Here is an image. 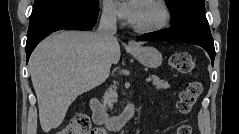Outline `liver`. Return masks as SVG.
Masks as SVG:
<instances>
[{
  "mask_svg": "<svg viewBox=\"0 0 239 134\" xmlns=\"http://www.w3.org/2000/svg\"><path fill=\"white\" fill-rule=\"evenodd\" d=\"M102 52L97 32L81 31L54 33L33 51L29 71L44 132L59 127L77 96L104 79L97 71ZM120 55L115 40L106 50V57L110 64H117Z\"/></svg>",
  "mask_w": 239,
  "mask_h": 134,
  "instance_id": "obj_1",
  "label": "liver"
}]
</instances>
